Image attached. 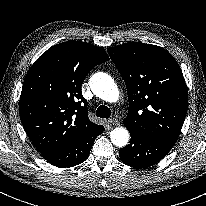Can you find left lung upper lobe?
<instances>
[{
    "mask_svg": "<svg viewBox=\"0 0 206 206\" xmlns=\"http://www.w3.org/2000/svg\"><path fill=\"white\" fill-rule=\"evenodd\" d=\"M107 50L127 87L125 127L175 144L188 108V90L177 61L165 49L139 42Z\"/></svg>",
    "mask_w": 206,
    "mask_h": 206,
    "instance_id": "left-lung-upper-lobe-1",
    "label": "left lung upper lobe"
}]
</instances>
